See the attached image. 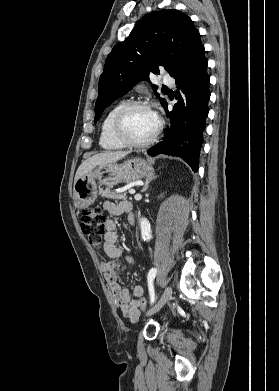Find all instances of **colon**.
Wrapping results in <instances>:
<instances>
[{
  "instance_id": "colon-1",
  "label": "colon",
  "mask_w": 279,
  "mask_h": 391,
  "mask_svg": "<svg viewBox=\"0 0 279 391\" xmlns=\"http://www.w3.org/2000/svg\"><path fill=\"white\" fill-rule=\"evenodd\" d=\"M105 223L106 220L101 208L94 207L84 210L81 217V228L89 243L95 248L102 246L106 232ZM137 304L142 311L148 310L144 297L138 298Z\"/></svg>"
}]
</instances>
